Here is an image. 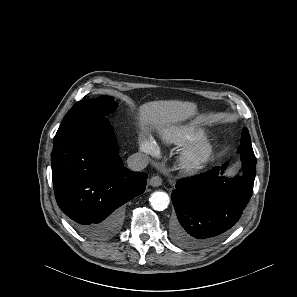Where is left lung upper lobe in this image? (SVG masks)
Returning a JSON list of instances; mask_svg holds the SVG:
<instances>
[{"label": "left lung upper lobe", "mask_w": 297, "mask_h": 297, "mask_svg": "<svg viewBox=\"0 0 297 297\" xmlns=\"http://www.w3.org/2000/svg\"><path fill=\"white\" fill-rule=\"evenodd\" d=\"M238 153L240 154H254L251 139L247 128H243L242 139L240 146L238 147Z\"/></svg>", "instance_id": "5c2ea615"}]
</instances>
